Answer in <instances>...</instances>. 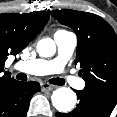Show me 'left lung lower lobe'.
<instances>
[{
  "label": "left lung lower lobe",
  "instance_id": "1",
  "mask_svg": "<svg viewBox=\"0 0 117 117\" xmlns=\"http://www.w3.org/2000/svg\"><path fill=\"white\" fill-rule=\"evenodd\" d=\"M79 104L70 113H56L55 117H109L117 103V97L86 90L75 91Z\"/></svg>",
  "mask_w": 117,
  "mask_h": 117
}]
</instances>
